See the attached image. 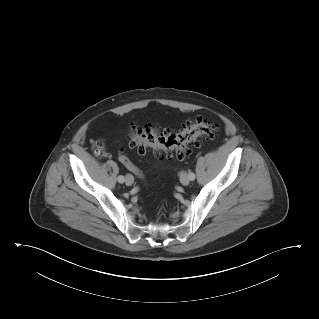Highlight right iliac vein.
<instances>
[{"label": "right iliac vein", "mask_w": 319, "mask_h": 319, "mask_svg": "<svg viewBox=\"0 0 319 319\" xmlns=\"http://www.w3.org/2000/svg\"><path fill=\"white\" fill-rule=\"evenodd\" d=\"M125 183L127 186H131L134 183V178L132 175H127L125 179Z\"/></svg>", "instance_id": "obj_1"}]
</instances>
